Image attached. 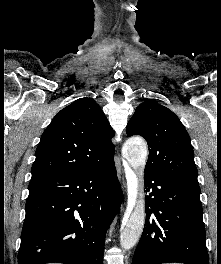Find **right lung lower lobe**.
Wrapping results in <instances>:
<instances>
[{
	"label": "right lung lower lobe",
	"mask_w": 221,
	"mask_h": 264,
	"mask_svg": "<svg viewBox=\"0 0 221 264\" xmlns=\"http://www.w3.org/2000/svg\"><path fill=\"white\" fill-rule=\"evenodd\" d=\"M121 195L114 157L89 170L30 182L18 264H103Z\"/></svg>",
	"instance_id": "right-lung-lower-lobe-1"
}]
</instances>
